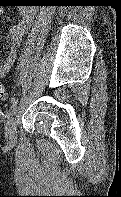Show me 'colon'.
Listing matches in <instances>:
<instances>
[{
	"label": "colon",
	"mask_w": 121,
	"mask_h": 197,
	"mask_svg": "<svg viewBox=\"0 0 121 197\" xmlns=\"http://www.w3.org/2000/svg\"><path fill=\"white\" fill-rule=\"evenodd\" d=\"M9 98L8 93L6 92L3 84L0 82V100L7 101Z\"/></svg>",
	"instance_id": "1"
}]
</instances>
